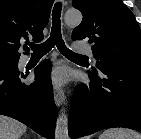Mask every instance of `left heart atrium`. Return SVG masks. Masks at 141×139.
<instances>
[{"label": "left heart atrium", "mask_w": 141, "mask_h": 139, "mask_svg": "<svg viewBox=\"0 0 141 139\" xmlns=\"http://www.w3.org/2000/svg\"><path fill=\"white\" fill-rule=\"evenodd\" d=\"M50 77L53 84L59 86L66 80V72L63 69L58 68L51 73Z\"/></svg>", "instance_id": "left-heart-atrium-1"}]
</instances>
